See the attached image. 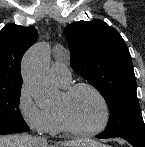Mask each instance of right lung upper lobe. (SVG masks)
Here are the masks:
<instances>
[{"label":"right lung upper lobe","instance_id":"right-lung-upper-lobe-1","mask_svg":"<svg viewBox=\"0 0 145 147\" xmlns=\"http://www.w3.org/2000/svg\"><path fill=\"white\" fill-rule=\"evenodd\" d=\"M37 30L9 23L0 31V89L22 86L21 59L35 43Z\"/></svg>","mask_w":145,"mask_h":147}]
</instances>
